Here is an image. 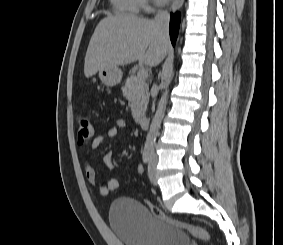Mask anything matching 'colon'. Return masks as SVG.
I'll list each match as a JSON object with an SVG mask.
<instances>
[{
    "label": "colon",
    "mask_w": 283,
    "mask_h": 245,
    "mask_svg": "<svg viewBox=\"0 0 283 245\" xmlns=\"http://www.w3.org/2000/svg\"><path fill=\"white\" fill-rule=\"evenodd\" d=\"M92 135H93V125L89 117L86 115L79 116L78 132H77L78 142L80 144L86 143L91 139ZM118 186H119L118 180L116 178H111L106 185L108 193L115 192L118 189ZM148 207L155 217L165 221L166 223L175 226L177 228L184 229L187 232H189L191 235L203 241L210 240L211 238L210 233L204 228L178 221L170 217L166 213H164L158 206L154 204L148 203Z\"/></svg>",
    "instance_id": "colon-1"
}]
</instances>
